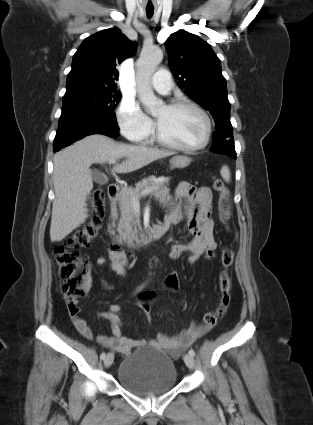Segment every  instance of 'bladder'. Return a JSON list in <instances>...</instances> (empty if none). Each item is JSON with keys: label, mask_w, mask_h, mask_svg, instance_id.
I'll list each match as a JSON object with an SVG mask.
<instances>
[{"label": "bladder", "mask_w": 313, "mask_h": 425, "mask_svg": "<svg viewBox=\"0 0 313 425\" xmlns=\"http://www.w3.org/2000/svg\"><path fill=\"white\" fill-rule=\"evenodd\" d=\"M117 379L125 390L136 396H156L175 387L177 371L167 351L144 347L121 361Z\"/></svg>", "instance_id": "1"}]
</instances>
